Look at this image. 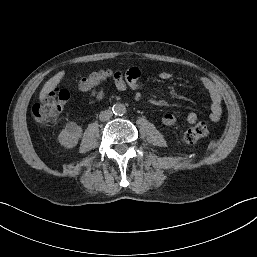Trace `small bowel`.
I'll return each instance as SVG.
<instances>
[{
  "label": "small bowel",
  "instance_id": "1",
  "mask_svg": "<svg viewBox=\"0 0 257 257\" xmlns=\"http://www.w3.org/2000/svg\"><path fill=\"white\" fill-rule=\"evenodd\" d=\"M109 74L113 77L115 86L118 90L124 91L127 89H139L141 87V71L138 67H131L125 73L121 71H111ZM172 77V73L168 70H164L160 73V78L168 80ZM198 82L202 85L208 94L210 100V113L209 117L212 121L217 122L222 116V97L216 86L205 77L196 76ZM104 98L103 89H99L95 96L94 101L96 103L101 102ZM198 119L195 112H189L186 116V121L189 124H194ZM161 122L165 126H173L176 123V117L171 113H166L161 117Z\"/></svg>",
  "mask_w": 257,
  "mask_h": 257
}]
</instances>
